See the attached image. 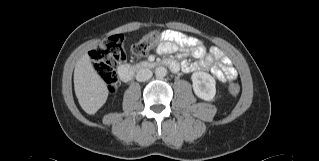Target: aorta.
<instances>
[{
	"label": "aorta",
	"instance_id": "762f6f07",
	"mask_svg": "<svg viewBox=\"0 0 319 161\" xmlns=\"http://www.w3.org/2000/svg\"><path fill=\"white\" fill-rule=\"evenodd\" d=\"M155 75L158 77V78H163L167 75V69L163 66H160V67H157L155 69Z\"/></svg>",
	"mask_w": 319,
	"mask_h": 161
}]
</instances>
